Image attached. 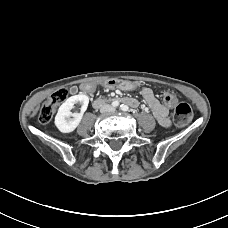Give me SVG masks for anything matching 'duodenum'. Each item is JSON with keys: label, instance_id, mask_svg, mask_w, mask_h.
<instances>
[{"label": "duodenum", "instance_id": "obj_1", "mask_svg": "<svg viewBox=\"0 0 228 228\" xmlns=\"http://www.w3.org/2000/svg\"><path fill=\"white\" fill-rule=\"evenodd\" d=\"M119 100H120L122 103H125V104H129V105H134V104H135V101H133V100L130 99V98L124 97V98H120ZM115 101H116V99H115ZM105 102H106V99H105V98H98V99H96V100L94 101V105H95L96 107H98V106L102 105V104L105 103Z\"/></svg>", "mask_w": 228, "mask_h": 228}]
</instances>
